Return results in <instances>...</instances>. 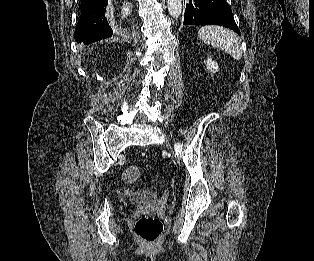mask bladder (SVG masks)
Returning <instances> with one entry per match:
<instances>
[{"label":"bladder","instance_id":"1","mask_svg":"<svg viewBox=\"0 0 314 261\" xmlns=\"http://www.w3.org/2000/svg\"><path fill=\"white\" fill-rule=\"evenodd\" d=\"M146 198H147V200H148V202H149L150 204H153V203H154L153 197L148 196V197H146Z\"/></svg>","mask_w":314,"mask_h":261}]
</instances>
